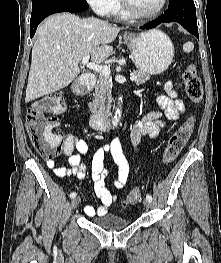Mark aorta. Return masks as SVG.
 Here are the masks:
<instances>
[{
  "instance_id": "762f6f07",
  "label": "aorta",
  "mask_w": 221,
  "mask_h": 263,
  "mask_svg": "<svg viewBox=\"0 0 221 263\" xmlns=\"http://www.w3.org/2000/svg\"><path fill=\"white\" fill-rule=\"evenodd\" d=\"M120 100L122 102V98L120 97ZM121 116H122V110L120 108H116L115 110V113H114V116L112 118V126L113 128L117 127L120 119H121Z\"/></svg>"
}]
</instances>
